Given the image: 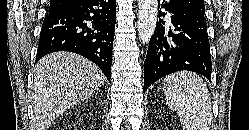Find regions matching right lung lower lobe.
Masks as SVG:
<instances>
[{"label": "right lung lower lobe", "instance_id": "obj_1", "mask_svg": "<svg viewBox=\"0 0 249 130\" xmlns=\"http://www.w3.org/2000/svg\"><path fill=\"white\" fill-rule=\"evenodd\" d=\"M116 0H78L43 21L36 62L56 51L80 54L111 79Z\"/></svg>", "mask_w": 249, "mask_h": 130}]
</instances>
